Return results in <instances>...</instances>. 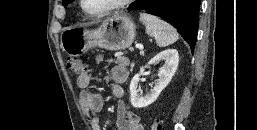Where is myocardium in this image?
Returning a JSON list of instances; mask_svg holds the SVG:
<instances>
[{"label":"myocardium","instance_id":"f54148a6","mask_svg":"<svg viewBox=\"0 0 257 130\" xmlns=\"http://www.w3.org/2000/svg\"><path fill=\"white\" fill-rule=\"evenodd\" d=\"M131 2H133V0H118L117 2H115L114 4L109 6L108 8L104 9L103 11L97 12V13L89 12L84 5V0H80V6H81L83 12L88 16L103 17L113 11H116V10H119L121 8L128 6Z\"/></svg>","mask_w":257,"mask_h":130}]
</instances>
